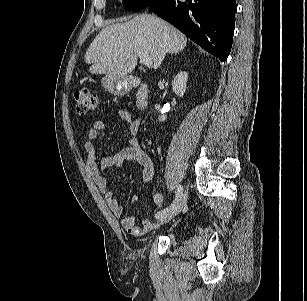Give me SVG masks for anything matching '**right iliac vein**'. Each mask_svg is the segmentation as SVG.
<instances>
[{"instance_id":"right-iliac-vein-1","label":"right iliac vein","mask_w":307,"mask_h":301,"mask_svg":"<svg viewBox=\"0 0 307 301\" xmlns=\"http://www.w3.org/2000/svg\"><path fill=\"white\" fill-rule=\"evenodd\" d=\"M187 203V194L183 193L175 207L164 217L160 218V223L165 224L173 219L177 214H179L185 207Z\"/></svg>"}]
</instances>
